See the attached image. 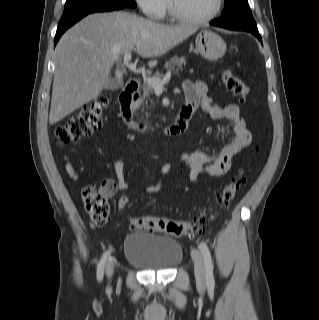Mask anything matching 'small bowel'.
Returning a JSON list of instances; mask_svg holds the SVG:
<instances>
[{"label": "small bowel", "mask_w": 319, "mask_h": 320, "mask_svg": "<svg viewBox=\"0 0 319 320\" xmlns=\"http://www.w3.org/2000/svg\"><path fill=\"white\" fill-rule=\"evenodd\" d=\"M185 95V105L182 109L196 111L201 109L213 119H227L232 122L233 137L228 140L218 151L207 153L203 151L189 152L183 150L179 154V161L190 171L191 185L188 186L184 193H188L197 179L201 175L209 177H218L224 175L230 168L231 159L234 155L245 149L252 142V134L248 129L247 121L242 117L240 107L236 104L220 106L213 102L209 96L208 87L203 82L185 81L183 83ZM65 169L68 175L74 180L78 179L77 172L70 162L69 158L64 155ZM108 164L115 170L116 185L121 191L129 189V184L125 179L122 162L116 158L108 157ZM169 171L168 164L160 166V176ZM161 189V179L146 188L147 194H156ZM121 197L118 201V208L124 209L128 203H123Z\"/></svg>", "instance_id": "small-bowel-1"}]
</instances>
